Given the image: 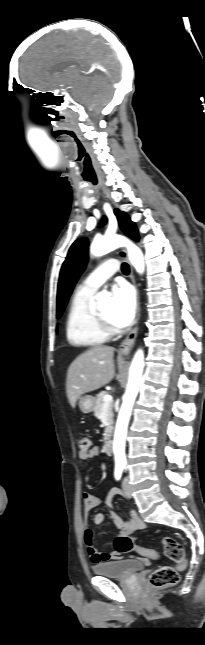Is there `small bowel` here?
Returning <instances> with one entry per match:
<instances>
[{
  "label": "small bowel",
  "instance_id": "obj_1",
  "mask_svg": "<svg viewBox=\"0 0 205 645\" xmlns=\"http://www.w3.org/2000/svg\"><path fill=\"white\" fill-rule=\"evenodd\" d=\"M100 455V450L98 447L93 446L87 452H79L78 458L80 461H86L91 458H96ZM122 492L118 488H112L104 501L89 492H84L82 494L83 508L85 514H87L92 508L100 505L104 502L106 508L97 512L93 518L95 525L99 526L103 523L106 516H109L119 531V536H132L135 532L143 530L145 528V523L137 515V513L130 509L129 516L127 518L122 517L115 509L113 500L116 496H122ZM84 543L88 552V555L92 563H100L106 561H113L120 559V553L116 552L115 549L111 552H102L99 551L93 542V530L86 526L84 529ZM140 560L145 564L149 563L148 558L141 557Z\"/></svg>",
  "mask_w": 205,
  "mask_h": 645
}]
</instances>
